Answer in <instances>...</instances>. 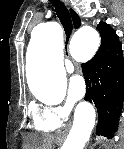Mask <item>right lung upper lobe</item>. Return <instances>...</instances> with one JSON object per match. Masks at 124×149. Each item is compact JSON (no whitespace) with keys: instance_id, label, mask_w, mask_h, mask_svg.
Wrapping results in <instances>:
<instances>
[{"instance_id":"obj_1","label":"right lung upper lobe","mask_w":124,"mask_h":149,"mask_svg":"<svg viewBox=\"0 0 124 149\" xmlns=\"http://www.w3.org/2000/svg\"><path fill=\"white\" fill-rule=\"evenodd\" d=\"M72 19L75 25V28H78L81 24L80 18L77 16V14L71 10Z\"/></svg>"}]
</instances>
